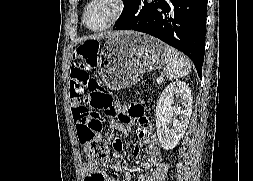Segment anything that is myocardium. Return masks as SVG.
<instances>
[{
	"instance_id": "f54148a6",
	"label": "myocardium",
	"mask_w": 253,
	"mask_h": 181,
	"mask_svg": "<svg viewBox=\"0 0 253 181\" xmlns=\"http://www.w3.org/2000/svg\"><path fill=\"white\" fill-rule=\"evenodd\" d=\"M97 1L98 0H88L86 2L85 6L83 8V12H82V24L86 29H88L89 31H92V32H100V31H103L105 29L112 27L125 15L127 8H128L127 0H112V2L114 4V10H113L111 16L109 17L108 21L104 25H102L101 27L92 28L87 25L86 16H87V12H88L89 8Z\"/></svg>"
}]
</instances>
